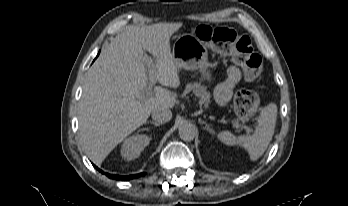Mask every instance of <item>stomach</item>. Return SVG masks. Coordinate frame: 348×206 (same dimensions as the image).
<instances>
[{
	"mask_svg": "<svg viewBox=\"0 0 348 206\" xmlns=\"http://www.w3.org/2000/svg\"><path fill=\"white\" fill-rule=\"evenodd\" d=\"M172 56L178 69L199 70L202 79L211 81L208 70V52L206 47L193 34L177 36Z\"/></svg>",
	"mask_w": 348,
	"mask_h": 206,
	"instance_id": "obj_1",
	"label": "stomach"
}]
</instances>
